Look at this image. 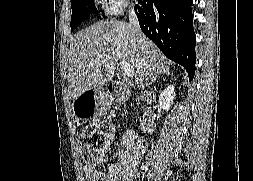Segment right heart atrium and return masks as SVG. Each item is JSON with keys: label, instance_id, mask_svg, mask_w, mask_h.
I'll return each instance as SVG.
<instances>
[{"label": "right heart atrium", "instance_id": "obj_1", "mask_svg": "<svg viewBox=\"0 0 253 181\" xmlns=\"http://www.w3.org/2000/svg\"><path fill=\"white\" fill-rule=\"evenodd\" d=\"M105 11L110 15H120L133 7L132 0H101Z\"/></svg>", "mask_w": 253, "mask_h": 181}]
</instances>
